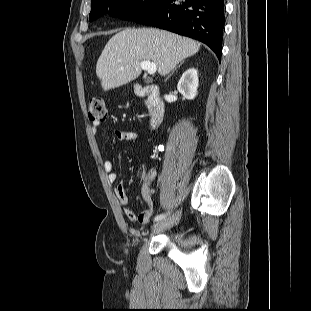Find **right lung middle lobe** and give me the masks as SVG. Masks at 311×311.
Segmentation results:
<instances>
[{
    "label": "right lung middle lobe",
    "mask_w": 311,
    "mask_h": 311,
    "mask_svg": "<svg viewBox=\"0 0 311 311\" xmlns=\"http://www.w3.org/2000/svg\"><path fill=\"white\" fill-rule=\"evenodd\" d=\"M160 0H95L91 2L89 21L110 13L124 20H134L145 14Z\"/></svg>",
    "instance_id": "dd1d6c3e"
}]
</instances>
